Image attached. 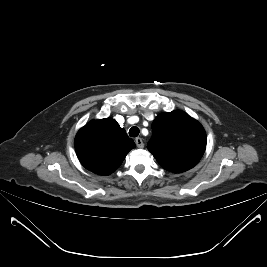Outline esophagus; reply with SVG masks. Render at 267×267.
<instances>
[{
    "instance_id": "obj_1",
    "label": "esophagus",
    "mask_w": 267,
    "mask_h": 267,
    "mask_svg": "<svg viewBox=\"0 0 267 267\" xmlns=\"http://www.w3.org/2000/svg\"><path fill=\"white\" fill-rule=\"evenodd\" d=\"M135 143H136L138 148H143L144 147L143 140L141 138H139V137L135 139Z\"/></svg>"
}]
</instances>
